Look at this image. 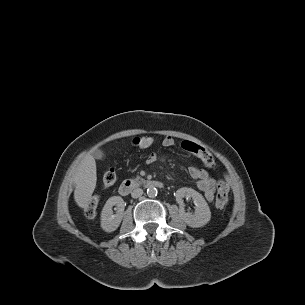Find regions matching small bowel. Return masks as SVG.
Wrapping results in <instances>:
<instances>
[{
  "label": "small bowel",
  "mask_w": 305,
  "mask_h": 305,
  "mask_svg": "<svg viewBox=\"0 0 305 305\" xmlns=\"http://www.w3.org/2000/svg\"><path fill=\"white\" fill-rule=\"evenodd\" d=\"M175 139L172 136H166L162 140V145L165 148L174 146ZM181 148L199 158L205 165L206 169L198 167H190L189 174L196 181V187L204 194V197L208 202L214 199L216 190L215 180L211 177L209 170L215 166V160L213 155L205 148L185 140L181 143ZM160 157L156 153H150L146 158L147 164L155 163Z\"/></svg>",
  "instance_id": "obj_1"
}]
</instances>
